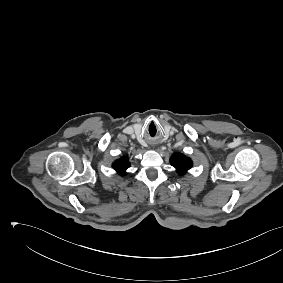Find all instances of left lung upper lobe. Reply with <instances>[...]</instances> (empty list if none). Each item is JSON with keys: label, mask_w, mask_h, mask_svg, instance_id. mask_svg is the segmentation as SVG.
Returning <instances> with one entry per match:
<instances>
[{"label": "left lung upper lobe", "mask_w": 283, "mask_h": 283, "mask_svg": "<svg viewBox=\"0 0 283 283\" xmlns=\"http://www.w3.org/2000/svg\"><path fill=\"white\" fill-rule=\"evenodd\" d=\"M170 163L180 175L185 174L192 167V161L181 153H174L170 158Z\"/></svg>", "instance_id": "obj_1"}]
</instances>
